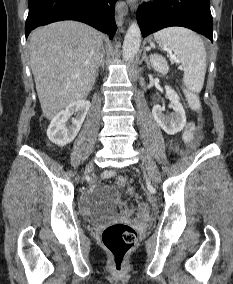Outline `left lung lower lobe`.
<instances>
[{
  "mask_svg": "<svg viewBox=\"0 0 233 284\" xmlns=\"http://www.w3.org/2000/svg\"><path fill=\"white\" fill-rule=\"evenodd\" d=\"M143 37L170 26H182L213 37L209 0H153L137 10Z\"/></svg>",
  "mask_w": 233,
  "mask_h": 284,
  "instance_id": "1",
  "label": "left lung lower lobe"
}]
</instances>
